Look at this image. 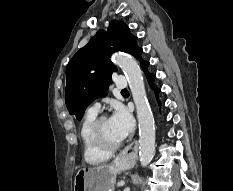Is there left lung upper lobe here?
<instances>
[{"mask_svg":"<svg viewBox=\"0 0 233 191\" xmlns=\"http://www.w3.org/2000/svg\"><path fill=\"white\" fill-rule=\"evenodd\" d=\"M136 40L124 22L113 20L74 55L66 69L65 102L71 115L80 120L92 101L106 95L111 74L117 70L109 60L112 53L124 51L143 60Z\"/></svg>","mask_w":233,"mask_h":191,"instance_id":"left-lung-upper-lobe-1","label":"left lung upper lobe"}]
</instances>
